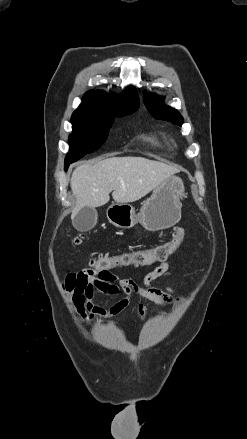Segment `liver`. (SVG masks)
Returning a JSON list of instances; mask_svg holds the SVG:
<instances>
[{"mask_svg":"<svg viewBox=\"0 0 247 439\" xmlns=\"http://www.w3.org/2000/svg\"><path fill=\"white\" fill-rule=\"evenodd\" d=\"M178 172L175 167L143 157H112L84 163L71 177L76 198L71 217L73 219L83 207L105 205L110 192L117 203L137 201Z\"/></svg>","mask_w":247,"mask_h":439,"instance_id":"1","label":"liver"}]
</instances>
